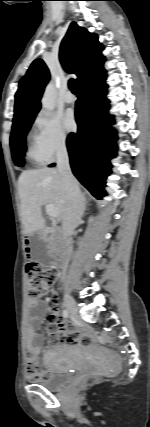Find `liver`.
<instances>
[{"label":"liver","instance_id":"1","mask_svg":"<svg viewBox=\"0 0 150 427\" xmlns=\"http://www.w3.org/2000/svg\"><path fill=\"white\" fill-rule=\"evenodd\" d=\"M18 192L26 235L41 231L45 227L41 209L44 205L55 206L59 211L58 221L63 220L66 191L58 169L41 168L23 171L18 180Z\"/></svg>","mask_w":150,"mask_h":427}]
</instances>
